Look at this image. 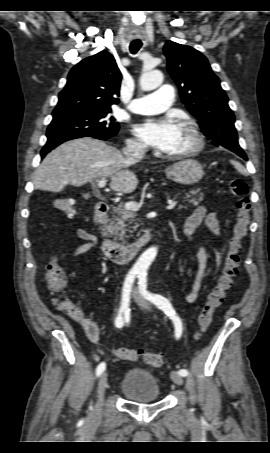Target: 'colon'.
Here are the masks:
<instances>
[{
    "label": "colon",
    "instance_id": "colon-1",
    "mask_svg": "<svg viewBox=\"0 0 270 453\" xmlns=\"http://www.w3.org/2000/svg\"><path fill=\"white\" fill-rule=\"evenodd\" d=\"M229 189L236 201V222L233 227V234L229 240L228 250L222 271L217 278L216 284L208 292L205 303L198 316V332L200 337L211 325L215 310L222 304L227 291L233 283V278L237 273L240 263V251L242 241L246 237L251 222V200L249 198V187L245 180L234 178L229 182ZM54 207L69 218H73L78 213V204L72 199H57ZM45 281L53 291L62 289L65 283V273L55 257L48 262L45 271ZM59 308L70 315L72 318H79L81 311L79 306L71 301L63 300L58 304ZM139 355L143 361L153 367H160L163 364V357L159 353L139 350Z\"/></svg>",
    "mask_w": 270,
    "mask_h": 453
}]
</instances>
